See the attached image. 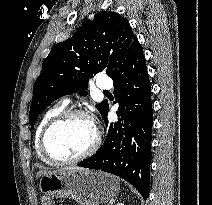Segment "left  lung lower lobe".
<instances>
[{"label": "left lung lower lobe", "mask_w": 212, "mask_h": 205, "mask_svg": "<svg viewBox=\"0 0 212 205\" xmlns=\"http://www.w3.org/2000/svg\"><path fill=\"white\" fill-rule=\"evenodd\" d=\"M114 95L119 102L115 123L106 119L108 133L96 154L78 166L102 170L119 176L132 184L144 200L149 194L151 133L153 125L151 87L143 54L136 38L114 76Z\"/></svg>", "instance_id": "1"}]
</instances>
